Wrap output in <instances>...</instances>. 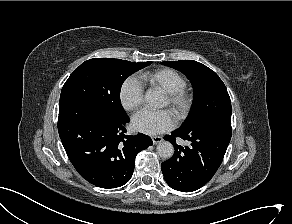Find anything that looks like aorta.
Masks as SVG:
<instances>
[{"instance_id":"1","label":"aorta","mask_w":292,"mask_h":224,"mask_svg":"<svg viewBox=\"0 0 292 224\" xmlns=\"http://www.w3.org/2000/svg\"><path fill=\"white\" fill-rule=\"evenodd\" d=\"M145 102L151 108L161 107L162 95L156 90H148L145 95ZM157 153L161 158H171L174 154V147L168 141H162L157 145Z\"/></svg>"}]
</instances>
